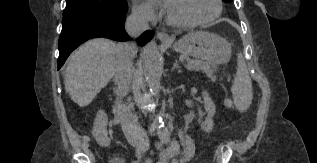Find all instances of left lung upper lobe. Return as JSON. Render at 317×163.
Listing matches in <instances>:
<instances>
[{
    "mask_svg": "<svg viewBox=\"0 0 317 163\" xmlns=\"http://www.w3.org/2000/svg\"><path fill=\"white\" fill-rule=\"evenodd\" d=\"M224 2H229L230 0H223Z\"/></svg>",
    "mask_w": 317,
    "mask_h": 163,
    "instance_id": "obj_1",
    "label": "left lung upper lobe"
}]
</instances>
